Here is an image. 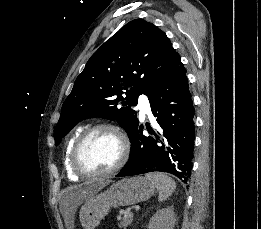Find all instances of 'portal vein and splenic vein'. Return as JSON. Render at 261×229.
I'll return each mask as SVG.
<instances>
[{
    "mask_svg": "<svg viewBox=\"0 0 261 229\" xmlns=\"http://www.w3.org/2000/svg\"><path fill=\"white\" fill-rule=\"evenodd\" d=\"M127 217H132V215H127Z\"/></svg>",
    "mask_w": 261,
    "mask_h": 229,
    "instance_id": "portal-vein-and-splenic-vein-1",
    "label": "portal vein and splenic vein"
}]
</instances>
